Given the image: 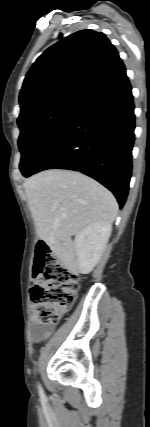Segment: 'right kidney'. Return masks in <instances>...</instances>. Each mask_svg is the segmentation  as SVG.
I'll use <instances>...</instances> for the list:
<instances>
[{
    "instance_id": "1",
    "label": "right kidney",
    "mask_w": 150,
    "mask_h": 427,
    "mask_svg": "<svg viewBox=\"0 0 150 427\" xmlns=\"http://www.w3.org/2000/svg\"><path fill=\"white\" fill-rule=\"evenodd\" d=\"M112 225L94 223L84 227L75 236L78 270L88 274L96 266L111 235Z\"/></svg>"
}]
</instances>
